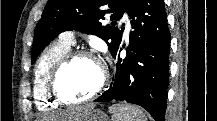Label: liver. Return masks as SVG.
I'll return each mask as SVG.
<instances>
[{
	"instance_id": "obj_1",
	"label": "liver",
	"mask_w": 217,
	"mask_h": 121,
	"mask_svg": "<svg viewBox=\"0 0 217 121\" xmlns=\"http://www.w3.org/2000/svg\"><path fill=\"white\" fill-rule=\"evenodd\" d=\"M87 113H89V110H85L83 114H80V116L83 118ZM80 116H78L76 119H80ZM71 118V114L70 113H64L61 114L59 116H57V119H59V121H66L67 119Z\"/></svg>"
}]
</instances>
